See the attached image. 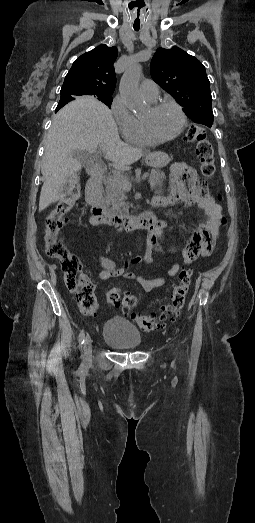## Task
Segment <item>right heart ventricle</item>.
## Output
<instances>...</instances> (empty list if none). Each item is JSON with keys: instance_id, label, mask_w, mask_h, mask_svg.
<instances>
[{"instance_id": "e07e8e85", "label": "right heart ventricle", "mask_w": 255, "mask_h": 523, "mask_svg": "<svg viewBox=\"0 0 255 523\" xmlns=\"http://www.w3.org/2000/svg\"><path fill=\"white\" fill-rule=\"evenodd\" d=\"M147 99V98H146ZM149 102H156L157 99H147ZM126 141L137 146H144L151 143L142 129V118L131 114L130 123L124 133Z\"/></svg>"}]
</instances>
